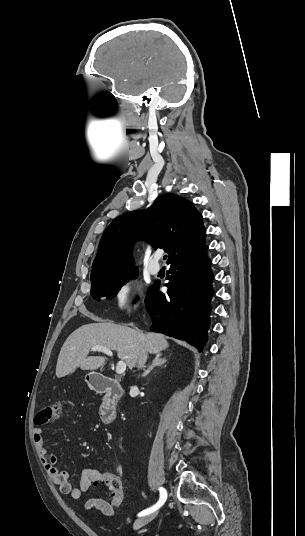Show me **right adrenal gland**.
<instances>
[{
  "instance_id": "1",
  "label": "right adrenal gland",
  "mask_w": 305,
  "mask_h": 536,
  "mask_svg": "<svg viewBox=\"0 0 305 536\" xmlns=\"http://www.w3.org/2000/svg\"><path fill=\"white\" fill-rule=\"evenodd\" d=\"M162 354H156V358L155 360H153V364H151V366H149L148 370H145L143 376H147V374H150L151 370H153V368H156V366H162V364H165V362H167V360H165V358H161Z\"/></svg>"
}]
</instances>
